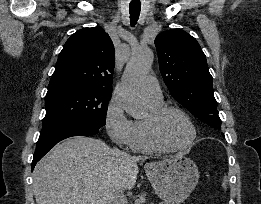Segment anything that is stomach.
I'll return each mask as SVG.
<instances>
[{
	"mask_svg": "<svg viewBox=\"0 0 261 204\" xmlns=\"http://www.w3.org/2000/svg\"><path fill=\"white\" fill-rule=\"evenodd\" d=\"M145 172L155 193L164 204H181L199 180L196 164L181 154L148 163L145 165Z\"/></svg>",
	"mask_w": 261,
	"mask_h": 204,
	"instance_id": "1",
	"label": "stomach"
}]
</instances>
